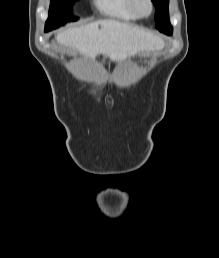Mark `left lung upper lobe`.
I'll return each instance as SVG.
<instances>
[{
    "mask_svg": "<svg viewBox=\"0 0 219 258\" xmlns=\"http://www.w3.org/2000/svg\"><path fill=\"white\" fill-rule=\"evenodd\" d=\"M153 4L156 7L155 13V25L156 28L165 34H172V26L169 21V0H152Z\"/></svg>",
    "mask_w": 219,
    "mask_h": 258,
    "instance_id": "1",
    "label": "left lung upper lobe"
}]
</instances>
